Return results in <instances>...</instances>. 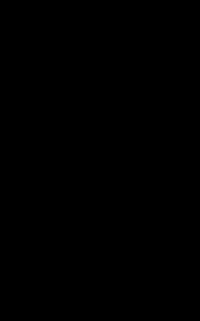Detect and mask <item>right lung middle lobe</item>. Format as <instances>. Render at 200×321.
I'll return each mask as SVG.
<instances>
[{"instance_id":"right-lung-middle-lobe-1","label":"right lung middle lobe","mask_w":200,"mask_h":321,"mask_svg":"<svg viewBox=\"0 0 200 321\" xmlns=\"http://www.w3.org/2000/svg\"><path fill=\"white\" fill-rule=\"evenodd\" d=\"M71 162L52 149L34 148L25 152L20 159L21 171L31 177L62 184L68 181Z\"/></svg>"}]
</instances>
